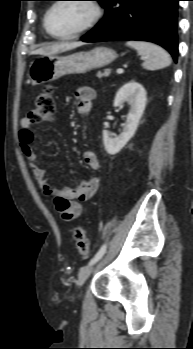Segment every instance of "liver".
Wrapping results in <instances>:
<instances>
[{
  "mask_svg": "<svg viewBox=\"0 0 193 349\" xmlns=\"http://www.w3.org/2000/svg\"><path fill=\"white\" fill-rule=\"evenodd\" d=\"M82 42H62L55 43L51 45H45L35 51L32 54L44 55V56H52L60 52L69 51L75 49L77 47L82 46Z\"/></svg>",
  "mask_w": 193,
  "mask_h": 349,
  "instance_id": "liver-1",
  "label": "liver"
}]
</instances>
